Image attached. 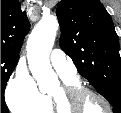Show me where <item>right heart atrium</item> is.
Here are the masks:
<instances>
[{"label": "right heart atrium", "mask_w": 121, "mask_h": 113, "mask_svg": "<svg viewBox=\"0 0 121 113\" xmlns=\"http://www.w3.org/2000/svg\"><path fill=\"white\" fill-rule=\"evenodd\" d=\"M5 96L9 109L16 113H35L42 99L34 78L20 66L9 79Z\"/></svg>", "instance_id": "obj_1"}]
</instances>
